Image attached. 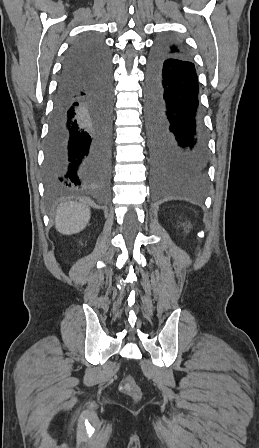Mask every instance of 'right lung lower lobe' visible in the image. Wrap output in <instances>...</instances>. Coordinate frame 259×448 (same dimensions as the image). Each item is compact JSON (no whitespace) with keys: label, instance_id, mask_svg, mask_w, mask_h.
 <instances>
[{"label":"right lung lower lobe","instance_id":"98d812e1","mask_svg":"<svg viewBox=\"0 0 259 448\" xmlns=\"http://www.w3.org/2000/svg\"><path fill=\"white\" fill-rule=\"evenodd\" d=\"M113 80L109 50L97 35L76 40L58 79L45 143L51 186H105L112 162Z\"/></svg>","mask_w":259,"mask_h":448}]
</instances>
